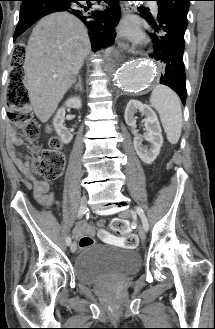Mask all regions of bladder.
<instances>
[{
  "label": "bladder",
  "mask_w": 215,
  "mask_h": 329,
  "mask_svg": "<svg viewBox=\"0 0 215 329\" xmlns=\"http://www.w3.org/2000/svg\"><path fill=\"white\" fill-rule=\"evenodd\" d=\"M140 263V256L132 250L91 245L75 258L74 274L80 283L92 285L105 277L136 273Z\"/></svg>",
  "instance_id": "bladder-1"
}]
</instances>
